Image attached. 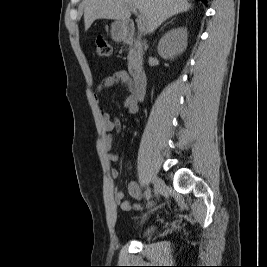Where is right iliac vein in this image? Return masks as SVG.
<instances>
[{"mask_svg":"<svg viewBox=\"0 0 267 267\" xmlns=\"http://www.w3.org/2000/svg\"><path fill=\"white\" fill-rule=\"evenodd\" d=\"M154 191L157 196H159L165 189V184L162 180L157 177L152 178Z\"/></svg>","mask_w":267,"mask_h":267,"instance_id":"1","label":"right iliac vein"}]
</instances>
